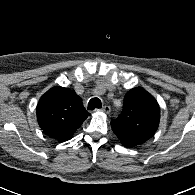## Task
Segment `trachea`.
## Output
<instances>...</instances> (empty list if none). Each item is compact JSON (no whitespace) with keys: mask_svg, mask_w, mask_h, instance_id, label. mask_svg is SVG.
Returning a JSON list of instances; mask_svg holds the SVG:
<instances>
[{"mask_svg":"<svg viewBox=\"0 0 195 195\" xmlns=\"http://www.w3.org/2000/svg\"><path fill=\"white\" fill-rule=\"evenodd\" d=\"M101 107H102V103L99 98L90 99L88 103V110H94L96 108H101Z\"/></svg>","mask_w":195,"mask_h":195,"instance_id":"1","label":"trachea"}]
</instances>
